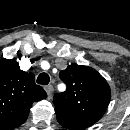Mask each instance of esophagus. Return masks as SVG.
Instances as JSON below:
<instances>
[{
	"mask_svg": "<svg viewBox=\"0 0 130 130\" xmlns=\"http://www.w3.org/2000/svg\"><path fill=\"white\" fill-rule=\"evenodd\" d=\"M53 90H54V88H53L52 85H47V86H45V91H46L48 97H51V95H52V93H53Z\"/></svg>",
	"mask_w": 130,
	"mask_h": 130,
	"instance_id": "esophagus-1",
	"label": "esophagus"
}]
</instances>
